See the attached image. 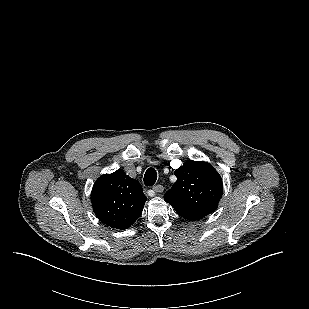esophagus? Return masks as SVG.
<instances>
[{"label":"esophagus","mask_w":309,"mask_h":309,"mask_svg":"<svg viewBox=\"0 0 309 309\" xmlns=\"http://www.w3.org/2000/svg\"><path fill=\"white\" fill-rule=\"evenodd\" d=\"M153 191L156 193H162L164 191V187L160 184L153 186Z\"/></svg>","instance_id":"esophagus-1"}]
</instances>
